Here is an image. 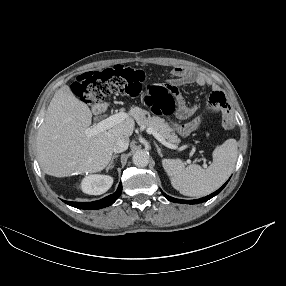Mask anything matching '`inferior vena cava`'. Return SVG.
Returning a JSON list of instances; mask_svg holds the SVG:
<instances>
[{
    "label": "inferior vena cava",
    "instance_id": "1",
    "mask_svg": "<svg viewBox=\"0 0 286 286\" xmlns=\"http://www.w3.org/2000/svg\"><path fill=\"white\" fill-rule=\"evenodd\" d=\"M128 145H129V138L119 137L114 143L113 151L115 153L123 152V151L127 150Z\"/></svg>",
    "mask_w": 286,
    "mask_h": 286
}]
</instances>
